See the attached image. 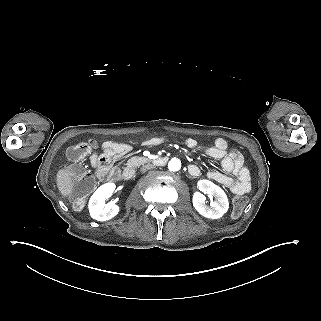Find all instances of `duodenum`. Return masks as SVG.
I'll return each instance as SVG.
<instances>
[{
    "label": "duodenum",
    "instance_id": "duodenum-1",
    "mask_svg": "<svg viewBox=\"0 0 321 321\" xmlns=\"http://www.w3.org/2000/svg\"><path fill=\"white\" fill-rule=\"evenodd\" d=\"M167 161H168V159L166 157H161V158L155 159L154 164L157 166H163L167 163ZM134 176H135L134 169L128 167V168H125L124 170H122L118 177L122 181H129V180L133 179Z\"/></svg>",
    "mask_w": 321,
    "mask_h": 321
}]
</instances>
